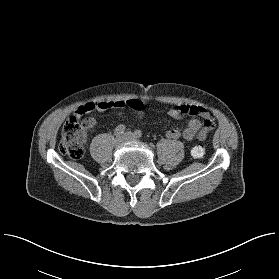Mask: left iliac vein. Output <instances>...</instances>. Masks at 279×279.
Returning <instances> with one entry per match:
<instances>
[{"label":"left iliac vein","mask_w":279,"mask_h":279,"mask_svg":"<svg viewBox=\"0 0 279 279\" xmlns=\"http://www.w3.org/2000/svg\"><path fill=\"white\" fill-rule=\"evenodd\" d=\"M124 140L126 141H137V137L132 132H125L124 133Z\"/></svg>","instance_id":"left-iliac-vein-1"}]
</instances>
